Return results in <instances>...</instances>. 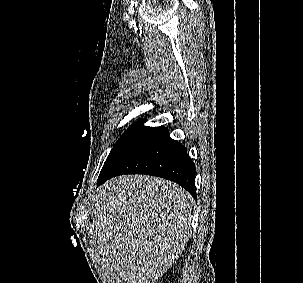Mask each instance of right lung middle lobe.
I'll use <instances>...</instances> for the list:
<instances>
[{
    "label": "right lung middle lobe",
    "mask_w": 303,
    "mask_h": 283,
    "mask_svg": "<svg viewBox=\"0 0 303 283\" xmlns=\"http://www.w3.org/2000/svg\"><path fill=\"white\" fill-rule=\"evenodd\" d=\"M145 119H139L122 135L107 157L100 176L106 174L123 156L128 148L149 128L144 126Z\"/></svg>",
    "instance_id": "obj_1"
}]
</instances>
